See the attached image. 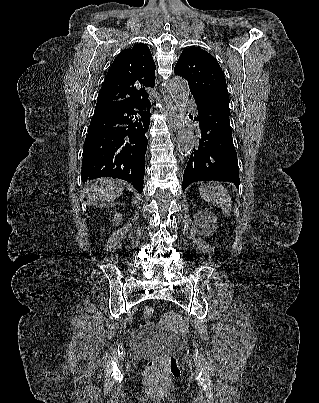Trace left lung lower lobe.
<instances>
[{
  "label": "left lung lower lobe",
  "mask_w": 319,
  "mask_h": 403,
  "mask_svg": "<svg viewBox=\"0 0 319 403\" xmlns=\"http://www.w3.org/2000/svg\"><path fill=\"white\" fill-rule=\"evenodd\" d=\"M199 116V140L183 174V190L195 181H227L239 187V168L232 140L228 101L193 97Z\"/></svg>",
  "instance_id": "obj_1"
}]
</instances>
